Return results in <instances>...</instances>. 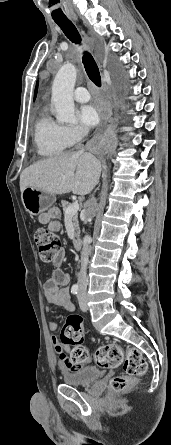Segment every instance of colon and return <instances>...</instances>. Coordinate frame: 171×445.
I'll list each match as a JSON object with an SVG mask.
<instances>
[{"instance_id": "5ec220e1", "label": "colon", "mask_w": 171, "mask_h": 445, "mask_svg": "<svg viewBox=\"0 0 171 445\" xmlns=\"http://www.w3.org/2000/svg\"><path fill=\"white\" fill-rule=\"evenodd\" d=\"M35 242L41 260L46 263L53 262L60 250L58 236L46 229H37ZM82 323V317L69 316L61 332L62 342L72 346L69 358L74 363H84L90 359L88 351L83 345ZM93 360L98 367L103 369L123 366L124 373L113 377L109 382V390L113 393L128 390L136 378L144 375L147 370V364L138 349L129 348L124 354L123 348L116 343L99 347L94 353Z\"/></svg>"}]
</instances>
